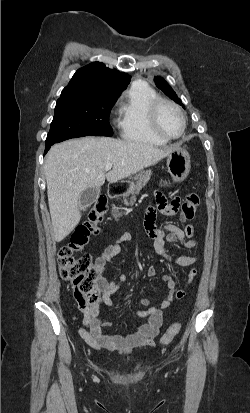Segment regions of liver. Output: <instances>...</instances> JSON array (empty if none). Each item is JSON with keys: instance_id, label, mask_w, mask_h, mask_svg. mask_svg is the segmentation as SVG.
<instances>
[{"instance_id": "1", "label": "liver", "mask_w": 250, "mask_h": 413, "mask_svg": "<svg viewBox=\"0 0 250 413\" xmlns=\"http://www.w3.org/2000/svg\"><path fill=\"white\" fill-rule=\"evenodd\" d=\"M176 149L109 137L88 136L52 146L44 172L48 204L57 242L66 238L81 219L80 197L87 188H100L158 163ZM112 163V170L105 166Z\"/></svg>"}]
</instances>
